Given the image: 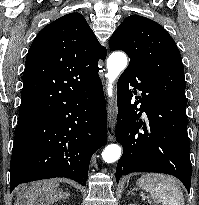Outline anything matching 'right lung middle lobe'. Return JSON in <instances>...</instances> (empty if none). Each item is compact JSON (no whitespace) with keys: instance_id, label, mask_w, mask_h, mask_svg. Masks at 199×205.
<instances>
[{"instance_id":"dd1d6c3e","label":"right lung middle lobe","mask_w":199,"mask_h":205,"mask_svg":"<svg viewBox=\"0 0 199 205\" xmlns=\"http://www.w3.org/2000/svg\"><path fill=\"white\" fill-rule=\"evenodd\" d=\"M26 120H18V124L23 123Z\"/></svg>"}]
</instances>
